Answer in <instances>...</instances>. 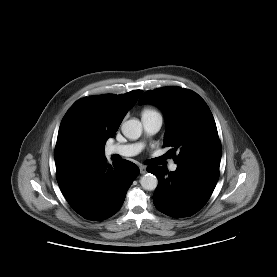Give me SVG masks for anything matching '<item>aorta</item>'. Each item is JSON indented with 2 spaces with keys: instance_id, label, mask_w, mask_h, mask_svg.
<instances>
[{
  "instance_id": "obj_1",
  "label": "aorta",
  "mask_w": 277,
  "mask_h": 277,
  "mask_svg": "<svg viewBox=\"0 0 277 277\" xmlns=\"http://www.w3.org/2000/svg\"><path fill=\"white\" fill-rule=\"evenodd\" d=\"M121 130L126 138L137 140L142 134V124L138 119H130L122 124ZM140 184L143 189L153 191L158 185V179L155 175L147 173L140 178Z\"/></svg>"
}]
</instances>
